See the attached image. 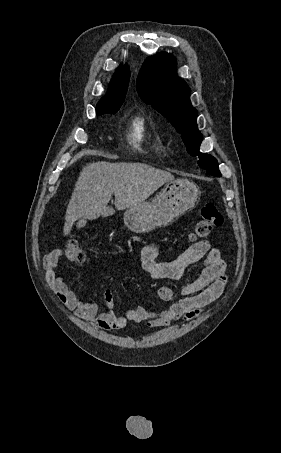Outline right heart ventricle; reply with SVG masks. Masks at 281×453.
<instances>
[{"label":"right heart ventricle","mask_w":281,"mask_h":453,"mask_svg":"<svg viewBox=\"0 0 281 453\" xmlns=\"http://www.w3.org/2000/svg\"><path fill=\"white\" fill-rule=\"evenodd\" d=\"M132 143L140 150H157L162 147L161 138L153 132L142 115L132 117L129 126Z\"/></svg>","instance_id":"1"}]
</instances>
